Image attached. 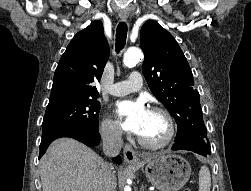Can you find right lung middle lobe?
<instances>
[{
	"instance_id": "right-lung-middle-lobe-1",
	"label": "right lung middle lobe",
	"mask_w": 251,
	"mask_h": 191,
	"mask_svg": "<svg viewBox=\"0 0 251 191\" xmlns=\"http://www.w3.org/2000/svg\"><path fill=\"white\" fill-rule=\"evenodd\" d=\"M99 111L100 105L96 99L71 101L47 107L42 123V136L69 126L99 130Z\"/></svg>"
}]
</instances>
